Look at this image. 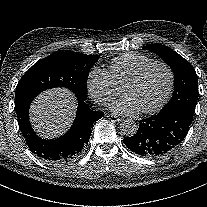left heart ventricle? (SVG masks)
Segmentation results:
<instances>
[{
  "instance_id": "1",
  "label": "left heart ventricle",
  "mask_w": 207,
  "mask_h": 207,
  "mask_svg": "<svg viewBox=\"0 0 207 207\" xmlns=\"http://www.w3.org/2000/svg\"><path fill=\"white\" fill-rule=\"evenodd\" d=\"M169 83L165 69L151 68L140 81L125 87V97L129 98L139 112L155 108L163 99Z\"/></svg>"
}]
</instances>
